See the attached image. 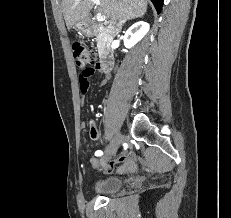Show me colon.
<instances>
[{"mask_svg":"<svg viewBox=\"0 0 231 218\" xmlns=\"http://www.w3.org/2000/svg\"><path fill=\"white\" fill-rule=\"evenodd\" d=\"M72 51L79 69H86L87 66H94L97 63L96 53L80 42L72 45Z\"/></svg>","mask_w":231,"mask_h":218,"instance_id":"colon-1","label":"colon"}]
</instances>
